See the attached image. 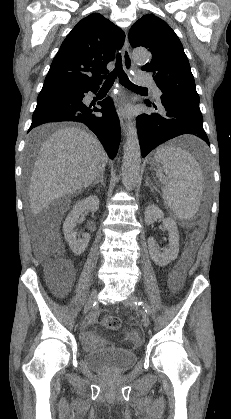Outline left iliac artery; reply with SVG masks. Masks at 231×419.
<instances>
[{
    "instance_id": "left-iliac-artery-1",
    "label": "left iliac artery",
    "mask_w": 231,
    "mask_h": 419,
    "mask_svg": "<svg viewBox=\"0 0 231 419\" xmlns=\"http://www.w3.org/2000/svg\"><path fill=\"white\" fill-rule=\"evenodd\" d=\"M134 304L138 305V306H141L147 314L150 313V307L147 303H145L143 301H137L136 300V301H134Z\"/></svg>"
}]
</instances>
